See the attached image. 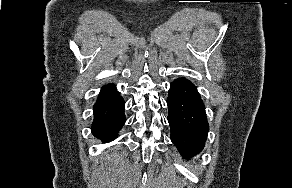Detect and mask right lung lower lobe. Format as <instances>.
<instances>
[{
  "label": "right lung lower lobe",
  "mask_w": 292,
  "mask_h": 188,
  "mask_svg": "<svg viewBox=\"0 0 292 188\" xmlns=\"http://www.w3.org/2000/svg\"><path fill=\"white\" fill-rule=\"evenodd\" d=\"M124 104L114 85L103 86L93 106L94 120L91 131L95 137L103 142H110L117 137L126 120Z\"/></svg>",
  "instance_id": "right-lung-lower-lobe-1"
}]
</instances>
